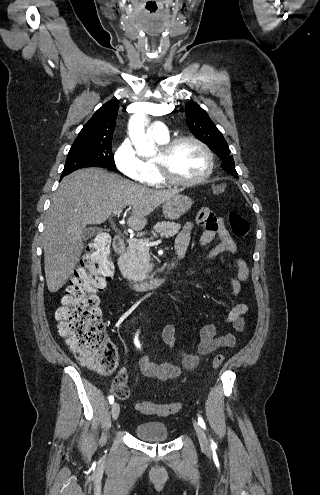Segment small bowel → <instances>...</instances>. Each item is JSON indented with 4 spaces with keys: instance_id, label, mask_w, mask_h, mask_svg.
I'll list each match as a JSON object with an SVG mask.
<instances>
[{
    "instance_id": "small-bowel-1",
    "label": "small bowel",
    "mask_w": 320,
    "mask_h": 495,
    "mask_svg": "<svg viewBox=\"0 0 320 495\" xmlns=\"http://www.w3.org/2000/svg\"><path fill=\"white\" fill-rule=\"evenodd\" d=\"M197 222L204 227L200 237L201 247L209 245L215 239L219 240V243L208 252L207 258L209 260L222 253L236 254L238 250L237 242L230 234L222 218L217 217L209 208H204L199 212ZM192 228L193 223L187 222L178 234L175 241L177 254H185L190 243ZM234 267L236 273L234 276H229V282L233 295L237 297L241 292V284L248 279L249 269L245 260L240 256L234 257ZM247 311L248 305L246 303H232L224 323L232 325L236 330L241 331L244 327V315ZM161 337L167 345L176 351L180 365L172 363L157 364L147 355L142 356L139 360L141 373L146 377L160 381L179 377L184 371L197 368L203 357L210 355L221 347H232L235 343V338L231 334L217 336V329L213 323H209L201 329L194 353H189L177 347L176 326L174 324H167L162 329ZM121 374L126 375V372L123 371Z\"/></svg>"
}]
</instances>
